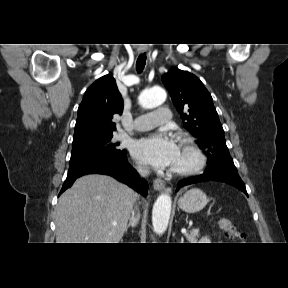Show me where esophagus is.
Returning a JSON list of instances; mask_svg holds the SVG:
<instances>
[{"label": "esophagus", "mask_w": 288, "mask_h": 288, "mask_svg": "<svg viewBox=\"0 0 288 288\" xmlns=\"http://www.w3.org/2000/svg\"><path fill=\"white\" fill-rule=\"evenodd\" d=\"M144 52H145V49H142L139 51V53H144ZM153 187L158 192L165 191L167 193H171L172 191V188L167 186L166 183L160 178H157L153 181Z\"/></svg>", "instance_id": "obj_1"}]
</instances>
